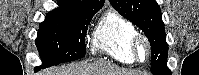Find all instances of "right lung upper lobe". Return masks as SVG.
Segmentation results:
<instances>
[{
    "label": "right lung upper lobe",
    "instance_id": "obj_1",
    "mask_svg": "<svg viewBox=\"0 0 199 75\" xmlns=\"http://www.w3.org/2000/svg\"><path fill=\"white\" fill-rule=\"evenodd\" d=\"M105 0H59L56 10L77 14L81 16H93L104 5Z\"/></svg>",
    "mask_w": 199,
    "mask_h": 75
}]
</instances>
